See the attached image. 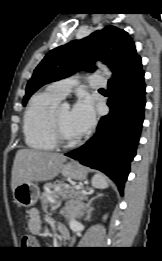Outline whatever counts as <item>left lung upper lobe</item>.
<instances>
[{"label":"left lung upper lobe","instance_id":"5c2ea615","mask_svg":"<svg viewBox=\"0 0 162 261\" xmlns=\"http://www.w3.org/2000/svg\"><path fill=\"white\" fill-rule=\"evenodd\" d=\"M140 59L127 32L114 26H106L88 37L51 50L28 81L23 105L44 84L66 78L80 69L93 71L96 60L103 61L111 68L114 79Z\"/></svg>","mask_w":162,"mask_h":261}]
</instances>
